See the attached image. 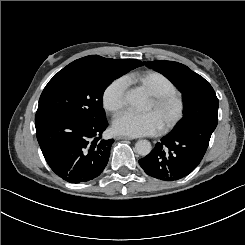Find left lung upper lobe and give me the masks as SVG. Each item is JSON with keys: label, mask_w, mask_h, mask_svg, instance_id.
Masks as SVG:
<instances>
[{"label": "left lung upper lobe", "mask_w": 245, "mask_h": 245, "mask_svg": "<svg viewBox=\"0 0 245 245\" xmlns=\"http://www.w3.org/2000/svg\"><path fill=\"white\" fill-rule=\"evenodd\" d=\"M144 64L167 77L182 93L184 110L183 114L198 111L199 103L215 93L212 86L200 75L178 62L156 60Z\"/></svg>", "instance_id": "obj_1"}]
</instances>
